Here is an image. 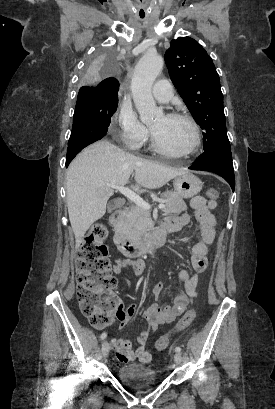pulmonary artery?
Returning a JSON list of instances; mask_svg holds the SVG:
<instances>
[{
  "instance_id": "obj_1",
  "label": "pulmonary artery",
  "mask_w": 275,
  "mask_h": 409,
  "mask_svg": "<svg viewBox=\"0 0 275 409\" xmlns=\"http://www.w3.org/2000/svg\"><path fill=\"white\" fill-rule=\"evenodd\" d=\"M174 91L169 79H158L157 85L153 87V95L159 102H168Z\"/></svg>"
}]
</instances>
